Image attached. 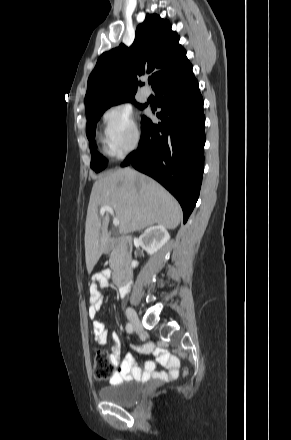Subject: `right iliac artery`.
I'll list each match as a JSON object with an SVG mask.
<instances>
[{
  "instance_id": "obj_1",
  "label": "right iliac artery",
  "mask_w": 291,
  "mask_h": 440,
  "mask_svg": "<svg viewBox=\"0 0 291 440\" xmlns=\"http://www.w3.org/2000/svg\"><path fill=\"white\" fill-rule=\"evenodd\" d=\"M126 331L128 333H132L133 332V326L130 323L126 324Z\"/></svg>"
}]
</instances>
